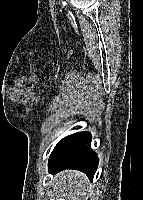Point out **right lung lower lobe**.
Wrapping results in <instances>:
<instances>
[{
  "label": "right lung lower lobe",
  "instance_id": "right-lung-lower-lobe-1",
  "mask_svg": "<svg viewBox=\"0 0 143 200\" xmlns=\"http://www.w3.org/2000/svg\"><path fill=\"white\" fill-rule=\"evenodd\" d=\"M99 159L91 149L89 132H78L63 138L49 158V171L56 173L64 169L84 172L91 180L98 167Z\"/></svg>",
  "mask_w": 143,
  "mask_h": 200
}]
</instances>
